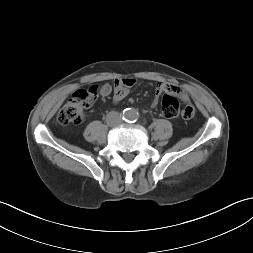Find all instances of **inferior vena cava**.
<instances>
[{
	"label": "inferior vena cava",
	"instance_id": "inferior-vena-cava-1",
	"mask_svg": "<svg viewBox=\"0 0 253 253\" xmlns=\"http://www.w3.org/2000/svg\"><path fill=\"white\" fill-rule=\"evenodd\" d=\"M122 119L118 112L112 111L107 114L106 122L109 126H116L121 123Z\"/></svg>",
	"mask_w": 253,
	"mask_h": 253
}]
</instances>
